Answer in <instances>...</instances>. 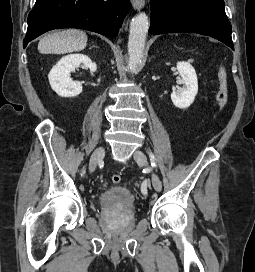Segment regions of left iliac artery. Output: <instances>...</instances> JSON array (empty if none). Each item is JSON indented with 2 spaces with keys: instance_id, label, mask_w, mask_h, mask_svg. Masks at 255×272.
I'll list each match as a JSON object with an SVG mask.
<instances>
[{
  "instance_id": "obj_1",
  "label": "left iliac artery",
  "mask_w": 255,
  "mask_h": 272,
  "mask_svg": "<svg viewBox=\"0 0 255 272\" xmlns=\"http://www.w3.org/2000/svg\"><path fill=\"white\" fill-rule=\"evenodd\" d=\"M148 153H149V157L151 160V165L153 167H156V159H155L154 154L151 151H149ZM146 185H147V180H144L143 184L141 185V191H142L143 195L147 194Z\"/></svg>"
}]
</instances>
